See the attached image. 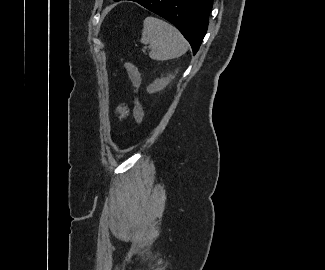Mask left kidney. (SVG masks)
<instances>
[{
  "label": "left kidney",
  "instance_id": "obj_1",
  "mask_svg": "<svg viewBox=\"0 0 325 270\" xmlns=\"http://www.w3.org/2000/svg\"><path fill=\"white\" fill-rule=\"evenodd\" d=\"M174 77V75H170L166 78L162 77L161 79H156L152 84L147 87V91L149 93H155L163 90L170 83V81L174 79Z\"/></svg>",
  "mask_w": 325,
  "mask_h": 270
}]
</instances>
